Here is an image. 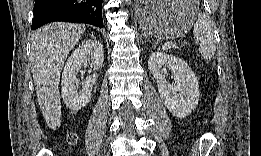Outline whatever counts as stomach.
<instances>
[{
  "instance_id": "0dacf381",
  "label": "stomach",
  "mask_w": 261,
  "mask_h": 156,
  "mask_svg": "<svg viewBox=\"0 0 261 156\" xmlns=\"http://www.w3.org/2000/svg\"><path fill=\"white\" fill-rule=\"evenodd\" d=\"M197 9L191 2H140L137 9L143 30L158 39H172L187 33L196 19Z\"/></svg>"
}]
</instances>
